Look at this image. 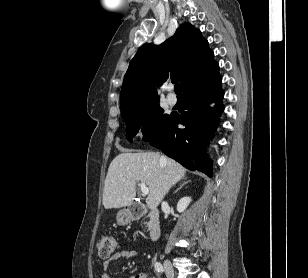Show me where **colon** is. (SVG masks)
<instances>
[{"instance_id": "5ec220e1", "label": "colon", "mask_w": 308, "mask_h": 278, "mask_svg": "<svg viewBox=\"0 0 308 278\" xmlns=\"http://www.w3.org/2000/svg\"><path fill=\"white\" fill-rule=\"evenodd\" d=\"M117 247V243L116 240L111 237V236H107V237H103L97 245L98 248V254L101 258H108L110 257L115 249Z\"/></svg>"}]
</instances>
